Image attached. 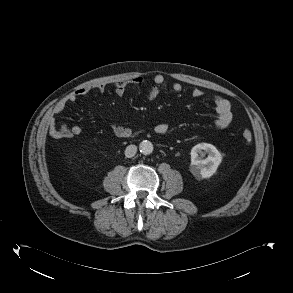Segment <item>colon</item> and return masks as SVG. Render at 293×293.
<instances>
[{
	"label": "colon",
	"mask_w": 293,
	"mask_h": 293,
	"mask_svg": "<svg viewBox=\"0 0 293 293\" xmlns=\"http://www.w3.org/2000/svg\"><path fill=\"white\" fill-rule=\"evenodd\" d=\"M55 131L62 135L65 134L68 130L64 126H62L59 129H55ZM242 135L246 144H250L252 142L253 136L249 130H244Z\"/></svg>",
	"instance_id": "colon-1"
}]
</instances>
